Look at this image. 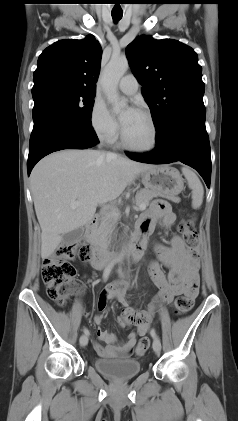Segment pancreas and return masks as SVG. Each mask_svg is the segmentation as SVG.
<instances>
[{
	"label": "pancreas",
	"instance_id": "cf45deb5",
	"mask_svg": "<svg viewBox=\"0 0 238 421\" xmlns=\"http://www.w3.org/2000/svg\"><path fill=\"white\" fill-rule=\"evenodd\" d=\"M158 196H161V193L156 190L142 189L139 192H137L134 202L137 206L144 205L145 207H147L150 201ZM172 200H174V198H172ZM117 222L118 216H115L112 213L107 214L104 217L103 221L94 233L95 237L100 243L104 245L108 244L109 234L113 231Z\"/></svg>",
	"mask_w": 238,
	"mask_h": 421
}]
</instances>
